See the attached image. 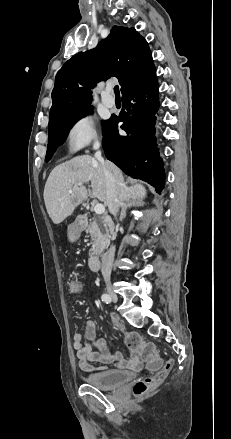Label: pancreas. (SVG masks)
<instances>
[{"label": "pancreas", "mask_w": 231, "mask_h": 439, "mask_svg": "<svg viewBox=\"0 0 231 439\" xmlns=\"http://www.w3.org/2000/svg\"><path fill=\"white\" fill-rule=\"evenodd\" d=\"M86 232L90 234L92 241V248L89 251V255L95 256L100 254L109 242V230L107 227L93 220L90 222Z\"/></svg>", "instance_id": "1"}]
</instances>
